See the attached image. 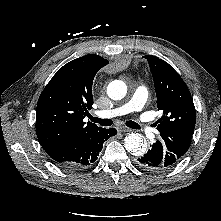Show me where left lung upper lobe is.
I'll use <instances>...</instances> for the list:
<instances>
[{
	"mask_svg": "<svg viewBox=\"0 0 221 221\" xmlns=\"http://www.w3.org/2000/svg\"><path fill=\"white\" fill-rule=\"evenodd\" d=\"M147 59L155 85L158 110L163 116L156 122L160 142L178 163L189 149L196 123V110L189 89L179 74L165 61L153 55Z\"/></svg>",
	"mask_w": 221,
	"mask_h": 221,
	"instance_id": "1",
	"label": "left lung upper lobe"
}]
</instances>
